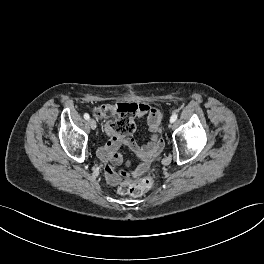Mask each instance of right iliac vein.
<instances>
[{"mask_svg":"<svg viewBox=\"0 0 264 264\" xmlns=\"http://www.w3.org/2000/svg\"><path fill=\"white\" fill-rule=\"evenodd\" d=\"M88 124H89V126H90V128L92 129V130H95L96 129V121L94 120V119H89L88 120Z\"/></svg>","mask_w":264,"mask_h":264,"instance_id":"1","label":"right iliac vein"}]
</instances>
